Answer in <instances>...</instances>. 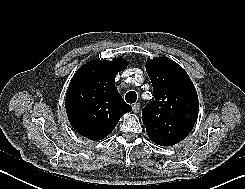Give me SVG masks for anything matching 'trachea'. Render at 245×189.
<instances>
[{
  "label": "trachea",
  "mask_w": 245,
  "mask_h": 189,
  "mask_svg": "<svg viewBox=\"0 0 245 189\" xmlns=\"http://www.w3.org/2000/svg\"><path fill=\"white\" fill-rule=\"evenodd\" d=\"M125 100L127 103H135L137 100V94L134 91H129L126 95H125Z\"/></svg>",
  "instance_id": "trachea-1"
}]
</instances>
